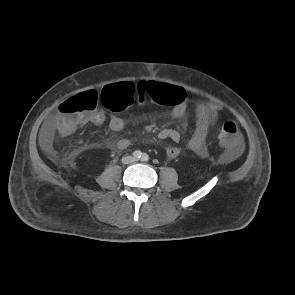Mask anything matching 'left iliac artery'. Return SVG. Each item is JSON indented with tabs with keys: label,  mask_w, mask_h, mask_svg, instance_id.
<instances>
[{
	"label": "left iliac artery",
	"mask_w": 295,
	"mask_h": 295,
	"mask_svg": "<svg viewBox=\"0 0 295 295\" xmlns=\"http://www.w3.org/2000/svg\"><path fill=\"white\" fill-rule=\"evenodd\" d=\"M142 161H148L149 160V156H148V154H146V153H144L143 155H142Z\"/></svg>",
	"instance_id": "obj_1"
}]
</instances>
